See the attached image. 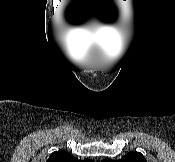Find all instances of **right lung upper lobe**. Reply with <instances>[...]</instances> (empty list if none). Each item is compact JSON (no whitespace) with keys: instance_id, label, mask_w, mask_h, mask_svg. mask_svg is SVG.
<instances>
[{"instance_id":"obj_1","label":"right lung upper lobe","mask_w":175,"mask_h":162,"mask_svg":"<svg viewBox=\"0 0 175 162\" xmlns=\"http://www.w3.org/2000/svg\"><path fill=\"white\" fill-rule=\"evenodd\" d=\"M46 162H92V160H78L65 151L53 152Z\"/></svg>"}]
</instances>
